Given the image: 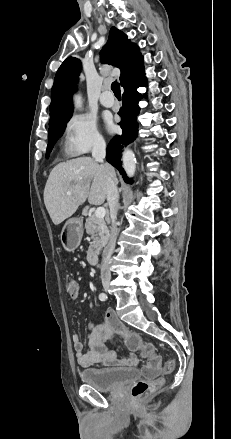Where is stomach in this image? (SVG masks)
<instances>
[{"label":"stomach","instance_id":"stomach-1","mask_svg":"<svg viewBox=\"0 0 231 439\" xmlns=\"http://www.w3.org/2000/svg\"><path fill=\"white\" fill-rule=\"evenodd\" d=\"M83 236V224L79 218H71L66 221L60 240L65 250L74 251L80 244Z\"/></svg>","mask_w":231,"mask_h":439}]
</instances>
